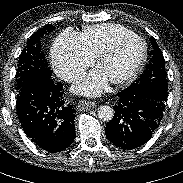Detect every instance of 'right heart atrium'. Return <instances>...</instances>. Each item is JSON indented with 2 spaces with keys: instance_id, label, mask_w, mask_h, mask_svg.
I'll return each mask as SVG.
<instances>
[{
  "instance_id": "obj_1",
  "label": "right heart atrium",
  "mask_w": 183,
  "mask_h": 183,
  "mask_svg": "<svg viewBox=\"0 0 183 183\" xmlns=\"http://www.w3.org/2000/svg\"><path fill=\"white\" fill-rule=\"evenodd\" d=\"M93 62L78 33L65 31L55 40L52 63L58 75L66 81L77 82Z\"/></svg>"
}]
</instances>
